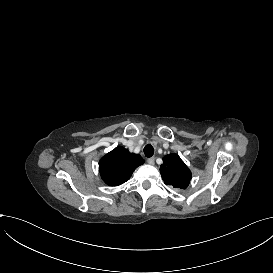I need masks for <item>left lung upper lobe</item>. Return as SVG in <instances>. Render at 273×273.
<instances>
[{"mask_svg":"<svg viewBox=\"0 0 273 273\" xmlns=\"http://www.w3.org/2000/svg\"><path fill=\"white\" fill-rule=\"evenodd\" d=\"M160 173L164 183L175 188L185 189L191 180V171L177 154H169L163 158Z\"/></svg>","mask_w":273,"mask_h":273,"instance_id":"left-lung-upper-lobe-1","label":"left lung upper lobe"}]
</instances>
